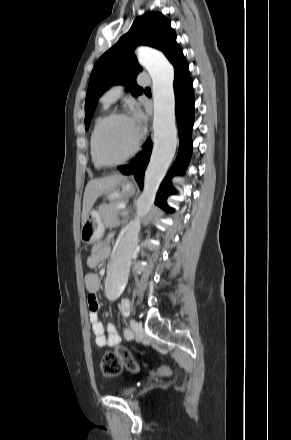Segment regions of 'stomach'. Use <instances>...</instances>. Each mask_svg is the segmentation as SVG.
I'll return each instance as SVG.
<instances>
[{"instance_id":"0dacf381","label":"stomach","mask_w":291,"mask_h":440,"mask_svg":"<svg viewBox=\"0 0 291 440\" xmlns=\"http://www.w3.org/2000/svg\"><path fill=\"white\" fill-rule=\"evenodd\" d=\"M134 193V186L126 181H121L117 187L108 193L109 200L120 201L122 198ZM104 232V226L100 215L97 211H90L85 223L82 225L81 229V239L83 242H92L99 238Z\"/></svg>"}]
</instances>
